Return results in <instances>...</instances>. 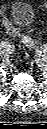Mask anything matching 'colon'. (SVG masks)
Segmentation results:
<instances>
[{
  "instance_id": "5ec220e1",
  "label": "colon",
  "mask_w": 47,
  "mask_h": 129,
  "mask_svg": "<svg viewBox=\"0 0 47 129\" xmlns=\"http://www.w3.org/2000/svg\"><path fill=\"white\" fill-rule=\"evenodd\" d=\"M3 25L10 35H12V36L18 35V30L13 26V24L9 21V19L4 15V12H3ZM32 42L33 41L30 37L27 36L24 38V43L27 46H31Z\"/></svg>"
}]
</instances>
